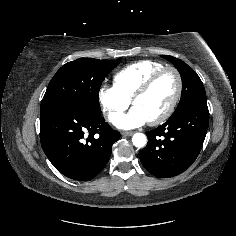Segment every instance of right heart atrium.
Returning <instances> with one entry per match:
<instances>
[{"instance_id":"right-heart-atrium-1","label":"right heart atrium","mask_w":236,"mask_h":236,"mask_svg":"<svg viewBox=\"0 0 236 236\" xmlns=\"http://www.w3.org/2000/svg\"><path fill=\"white\" fill-rule=\"evenodd\" d=\"M98 100L104 116L109 121H113L130 105V100L123 96L115 86H101L98 90Z\"/></svg>"}]
</instances>
